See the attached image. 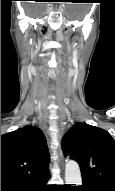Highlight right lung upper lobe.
Listing matches in <instances>:
<instances>
[{
  "label": "right lung upper lobe",
  "mask_w": 115,
  "mask_h": 191,
  "mask_svg": "<svg viewBox=\"0 0 115 191\" xmlns=\"http://www.w3.org/2000/svg\"><path fill=\"white\" fill-rule=\"evenodd\" d=\"M49 151L43 132L27 125L1 135V184L49 175Z\"/></svg>",
  "instance_id": "1"
}]
</instances>
